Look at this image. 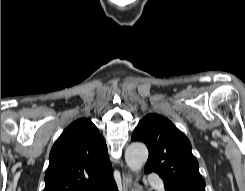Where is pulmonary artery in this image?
Returning <instances> with one entry per match:
<instances>
[{
  "instance_id": "1",
  "label": "pulmonary artery",
  "mask_w": 245,
  "mask_h": 191,
  "mask_svg": "<svg viewBox=\"0 0 245 191\" xmlns=\"http://www.w3.org/2000/svg\"><path fill=\"white\" fill-rule=\"evenodd\" d=\"M148 183H150L154 188L159 191L165 190L164 182L155 174L148 175Z\"/></svg>"
}]
</instances>
